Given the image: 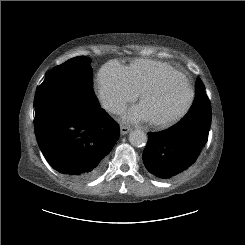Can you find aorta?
<instances>
[{"label":"aorta","instance_id":"762f6f07","mask_svg":"<svg viewBox=\"0 0 245 245\" xmlns=\"http://www.w3.org/2000/svg\"><path fill=\"white\" fill-rule=\"evenodd\" d=\"M147 140V135L142 130H134L129 134V141L135 147L145 146Z\"/></svg>","mask_w":245,"mask_h":245}]
</instances>
